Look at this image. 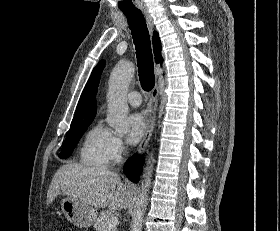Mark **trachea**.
<instances>
[{"instance_id": "3493384b", "label": "trachea", "mask_w": 280, "mask_h": 231, "mask_svg": "<svg viewBox=\"0 0 280 231\" xmlns=\"http://www.w3.org/2000/svg\"><path fill=\"white\" fill-rule=\"evenodd\" d=\"M132 32L137 55L139 81L145 91H151L155 85L154 63L150 36L141 10L123 11Z\"/></svg>"}]
</instances>
